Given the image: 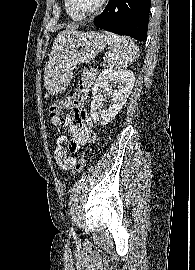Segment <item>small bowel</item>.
I'll list each match as a JSON object with an SVG mask.
<instances>
[{
	"mask_svg": "<svg viewBox=\"0 0 195 270\" xmlns=\"http://www.w3.org/2000/svg\"><path fill=\"white\" fill-rule=\"evenodd\" d=\"M96 75L93 69L85 71L73 95L64 98L65 110L72 109L70 114L50 118L53 127H67L71 133V137L61 134L56 142L55 162L61 171L73 169L77 163L76 155L79 154L82 146L96 139L93 122L84 108L87 94Z\"/></svg>",
	"mask_w": 195,
	"mask_h": 270,
	"instance_id": "obj_1",
	"label": "small bowel"
}]
</instances>
